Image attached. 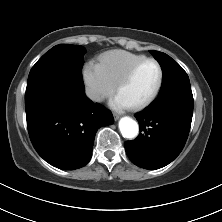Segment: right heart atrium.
Segmentation results:
<instances>
[{
	"mask_svg": "<svg viewBox=\"0 0 222 222\" xmlns=\"http://www.w3.org/2000/svg\"><path fill=\"white\" fill-rule=\"evenodd\" d=\"M83 78L86 94L93 102L100 103L114 92L115 85L104 76L99 65L93 61L85 64Z\"/></svg>",
	"mask_w": 222,
	"mask_h": 222,
	"instance_id": "1",
	"label": "right heart atrium"
}]
</instances>
